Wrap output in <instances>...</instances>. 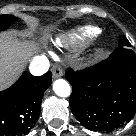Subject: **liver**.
I'll use <instances>...</instances> for the list:
<instances>
[{
	"label": "liver",
	"mask_w": 136,
	"mask_h": 136,
	"mask_svg": "<svg viewBox=\"0 0 136 136\" xmlns=\"http://www.w3.org/2000/svg\"><path fill=\"white\" fill-rule=\"evenodd\" d=\"M35 49L34 42L19 40L14 32L0 34V90L9 87L18 78Z\"/></svg>",
	"instance_id": "obj_1"
}]
</instances>
